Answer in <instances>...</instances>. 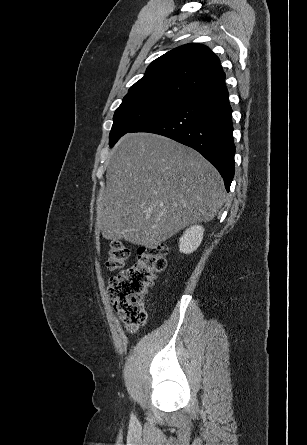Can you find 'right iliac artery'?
<instances>
[{"label":"right iliac artery","mask_w":307,"mask_h":445,"mask_svg":"<svg viewBox=\"0 0 307 445\" xmlns=\"http://www.w3.org/2000/svg\"><path fill=\"white\" fill-rule=\"evenodd\" d=\"M131 418H132V419H135V416L132 414Z\"/></svg>","instance_id":"82829eb1"}]
</instances>
